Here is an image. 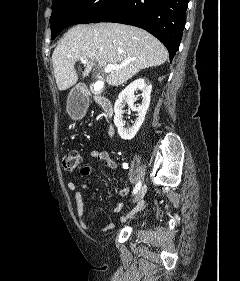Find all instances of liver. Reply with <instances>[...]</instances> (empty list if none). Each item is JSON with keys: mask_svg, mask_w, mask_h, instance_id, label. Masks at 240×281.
Instances as JSON below:
<instances>
[{"mask_svg": "<svg viewBox=\"0 0 240 281\" xmlns=\"http://www.w3.org/2000/svg\"><path fill=\"white\" fill-rule=\"evenodd\" d=\"M81 58L88 60L83 78L90 74L95 61L99 66H120L106 78L109 85L119 86L140 70L165 63L168 51L158 39L138 27L118 23L74 26L52 54L54 77L60 91L77 83L75 64Z\"/></svg>", "mask_w": 240, "mask_h": 281, "instance_id": "obj_1", "label": "liver"}]
</instances>
